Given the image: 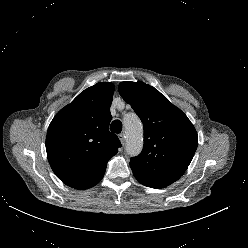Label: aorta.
Returning a JSON list of instances; mask_svg holds the SVG:
<instances>
[{
  "mask_svg": "<svg viewBox=\"0 0 248 248\" xmlns=\"http://www.w3.org/2000/svg\"><path fill=\"white\" fill-rule=\"evenodd\" d=\"M124 123L127 133L126 150L129 154L136 155L143 146L142 125L136 115L127 116Z\"/></svg>",
  "mask_w": 248,
  "mask_h": 248,
  "instance_id": "obj_1",
  "label": "aorta"
}]
</instances>
